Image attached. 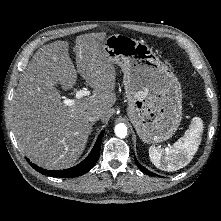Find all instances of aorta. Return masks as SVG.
I'll list each match as a JSON object with an SVG mask.
<instances>
[{
	"mask_svg": "<svg viewBox=\"0 0 221 221\" xmlns=\"http://www.w3.org/2000/svg\"><path fill=\"white\" fill-rule=\"evenodd\" d=\"M115 134L119 138H125L127 136V126L123 123H119L115 126Z\"/></svg>",
	"mask_w": 221,
	"mask_h": 221,
	"instance_id": "762f6f07",
	"label": "aorta"
}]
</instances>
